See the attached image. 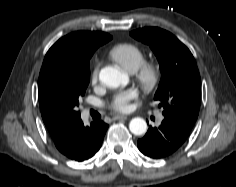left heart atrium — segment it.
<instances>
[{
	"label": "left heart atrium",
	"mask_w": 236,
	"mask_h": 187,
	"mask_svg": "<svg viewBox=\"0 0 236 187\" xmlns=\"http://www.w3.org/2000/svg\"><path fill=\"white\" fill-rule=\"evenodd\" d=\"M138 92L135 89L118 92L114 95L110 107L112 110L125 113L130 109V101L137 98Z\"/></svg>",
	"instance_id": "obj_1"
}]
</instances>
